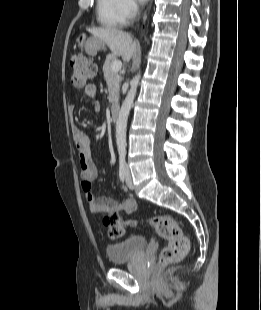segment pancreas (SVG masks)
<instances>
[{
	"mask_svg": "<svg viewBox=\"0 0 261 310\" xmlns=\"http://www.w3.org/2000/svg\"><path fill=\"white\" fill-rule=\"evenodd\" d=\"M115 60H116L115 55H108L103 65L104 78L107 83L109 93L108 99L109 102L112 104L118 102L120 83L122 81V77L119 74V72H113L111 70L112 63Z\"/></svg>",
	"mask_w": 261,
	"mask_h": 310,
	"instance_id": "obj_1",
	"label": "pancreas"
}]
</instances>
